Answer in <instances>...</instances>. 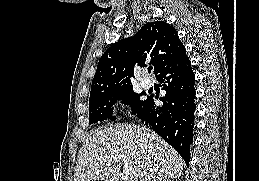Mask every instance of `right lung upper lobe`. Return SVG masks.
I'll use <instances>...</instances> for the list:
<instances>
[{
  "mask_svg": "<svg viewBox=\"0 0 259 181\" xmlns=\"http://www.w3.org/2000/svg\"><path fill=\"white\" fill-rule=\"evenodd\" d=\"M185 52L174 27L163 21L144 25L133 37L116 42L101 56L94 75L90 98L119 88L132 87L134 64L145 61L160 73L171 61Z\"/></svg>",
  "mask_w": 259,
  "mask_h": 181,
  "instance_id": "cb5924a9",
  "label": "right lung upper lobe"
}]
</instances>
